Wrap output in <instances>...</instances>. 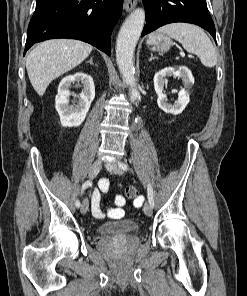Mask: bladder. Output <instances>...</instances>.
<instances>
[{"instance_id":"1","label":"bladder","mask_w":247,"mask_h":296,"mask_svg":"<svg viewBox=\"0 0 247 296\" xmlns=\"http://www.w3.org/2000/svg\"><path fill=\"white\" fill-rule=\"evenodd\" d=\"M138 224L132 220H121L102 224L98 232L104 236H121L137 232Z\"/></svg>"}]
</instances>
